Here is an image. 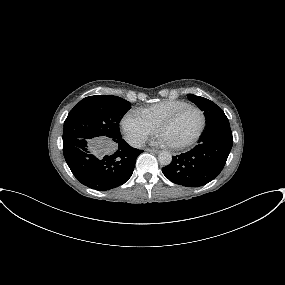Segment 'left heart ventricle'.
I'll use <instances>...</instances> for the list:
<instances>
[{"instance_id": "left-heart-ventricle-1", "label": "left heart ventricle", "mask_w": 285, "mask_h": 285, "mask_svg": "<svg viewBox=\"0 0 285 285\" xmlns=\"http://www.w3.org/2000/svg\"><path fill=\"white\" fill-rule=\"evenodd\" d=\"M201 125V116L196 109L183 110L175 121L164 128L160 135L168 144H181L190 139Z\"/></svg>"}]
</instances>
